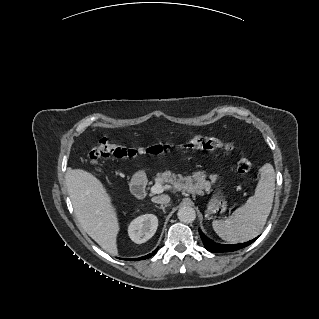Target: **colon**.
Masks as SVG:
<instances>
[{"mask_svg":"<svg viewBox=\"0 0 319 319\" xmlns=\"http://www.w3.org/2000/svg\"><path fill=\"white\" fill-rule=\"evenodd\" d=\"M171 149L187 150H230L231 146L216 138L195 136L176 144H155L150 146H133L121 141L103 138L88 150V158L92 165L97 166L101 159L108 157L128 158L137 154L159 155ZM252 164L244 158L237 161V170L241 174L250 172Z\"/></svg>","mask_w":319,"mask_h":319,"instance_id":"obj_1","label":"colon"}]
</instances>
